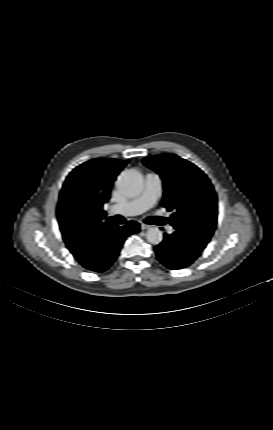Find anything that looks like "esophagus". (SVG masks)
Returning <instances> with one entry per match:
<instances>
[{"mask_svg":"<svg viewBox=\"0 0 273 430\" xmlns=\"http://www.w3.org/2000/svg\"><path fill=\"white\" fill-rule=\"evenodd\" d=\"M149 228H150V225L145 224V223H141V229L142 230H146V229H149Z\"/></svg>","mask_w":273,"mask_h":430,"instance_id":"34e87169","label":"esophagus"}]
</instances>
